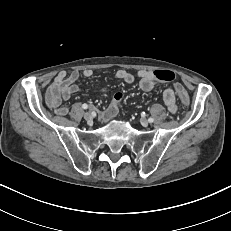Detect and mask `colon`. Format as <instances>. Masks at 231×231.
I'll return each mask as SVG.
<instances>
[{
	"mask_svg": "<svg viewBox=\"0 0 231 231\" xmlns=\"http://www.w3.org/2000/svg\"><path fill=\"white\" fill-rule=\"evenodd\" d=\"M153 75L155 80L159 82H171L175 78V74L170 70H157L154 71ZM174 89L178 95V98L181 100L182 105H184L187 109L192 108V97L189 95V93L184 90L180 84H176ZM122 98L123 95L121 93H117L114 97L118 103L122 100Z\"/></svg>",
	"mask_w": 231,
	"mask_h": 231,
	"instance_id": "colon-1",
	"label": "colon"
}]
</instances>
